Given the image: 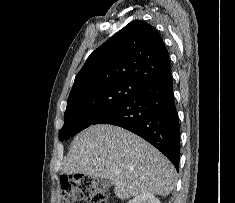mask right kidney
<instances>
[{
    "instance_id": "1",
    "label": "right kidney",
    "mask_w": 235,
    "mask_h": 203,
    "mask_svg": "<svg viewBox=\"0 0 235 203\" xmlns=\"http://www.w3.org/2000/svg\"><path fill=\"white\" fill-rule=\"evenodd\" d=\"M128 203H160V200L156 198L153 194L143 193V194L137 195Z\"/></svg>"
}]
</instances>
